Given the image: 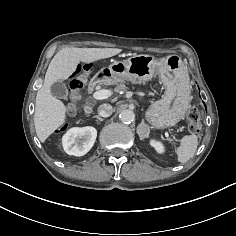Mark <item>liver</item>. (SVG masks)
Listing matches in <instances>:
<instances>
[{
    "mask_svg": "<svg viewBox=\"0 0 236 236\" xmlns=\"http://www.w3.org/2000/svg\"><path fill=\"white\" fill-rule=\"evenodd\" d=\"M120 48H64L51 60L42 87L36 95L34 125L41 142L64 124L67 109L56 99L50 87L60 79H67L75 72L78 63H93L119 54ZM110 81V80H108ZM111 82V81H110Z\"/></svg>",
    "mask_w": 236,
    "mask_h": 236,
    "instance_id": "6515ba94",
    "label": "liver"
}]
</instances>
